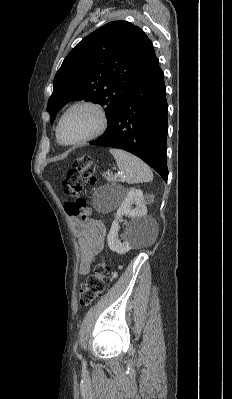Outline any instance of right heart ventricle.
<instances>
[{
  "label": "right heart ventricle",
  "mask_w": 232,
  "mask_h": 399,
  "mask_svg": "<svg viewBox=\"0 0 232 399\" xmlns=\"http://www.w3.org/2000/svg\"><path fill=\"white\" fill-rule=\"evenodd\" d=\"M58 142H59V144H61L62 145V143L58 140Z\"/></svg>",
  "instance_id": "right-heart-ventricle-1"
}]
</instances>
